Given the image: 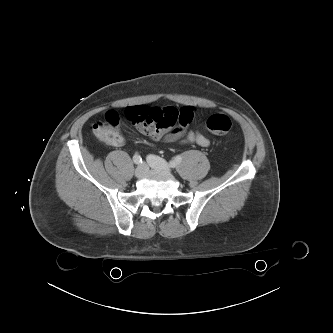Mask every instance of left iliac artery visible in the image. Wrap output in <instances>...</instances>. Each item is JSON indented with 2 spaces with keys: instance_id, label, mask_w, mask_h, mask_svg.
<instances>
[{
  "instance_id": "left-iliac-artery-1",
  "label": "left iliac artery",
  "mask_w": 333,
  "mask_h": 333,
  "mask_svg": "<svg viewBox=\"0 0 333 333\" xmlns=\"http://www.w3.org/2000/svg\"><path fill=\"white\" fill-rule=\"evenodd\" d=\"M182 161V157L180 155H177L172 161H170V166L172 168H175L178 164H180Z\"/></svg>"
}]
</instances>
